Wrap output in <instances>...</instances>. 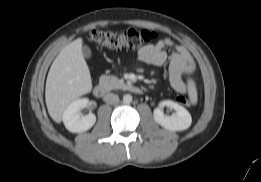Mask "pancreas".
I'll return each instance as SVG.
<instances>
[{"label": "pancreas", "instance_id": "pancreas-1", "mask_svg": "<svg viewBox=\"0 0 261 182\" xmlns=\"http://www.w3.org/2000/svg\"><path fill=\"white\" fill-rule=\"evenodd\" d=\"M100 84L103 85L107 90L124 89L126 84L123 79H118L112 75H102L100 77Z\"/></svg>", "mask_w": 261, "mask_h": 182}]
</instances>
